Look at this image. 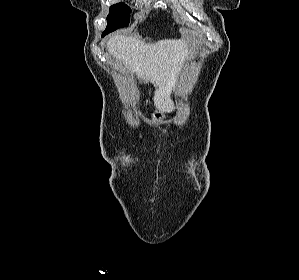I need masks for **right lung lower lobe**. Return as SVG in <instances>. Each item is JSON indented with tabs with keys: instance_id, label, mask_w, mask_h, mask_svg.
<instances>
[{
	"instance_id": "right-lung-lower-lobe-1",
	"label": "right lung lower lobe",
	"mask_w": 299,
	"mask_h": 280,
	"mask_svg": "<svg viewBox=\"0 0 299 280\" xmlns=\"http://www.w3.org/2000/svg\"><path fill=\"white\" fill-rule=\"evenodd\" d=\"M112 32L111 30L109 29H106L103 33H102V37L107 35L108 33Z\"/></svg>"
}]
</instances>
